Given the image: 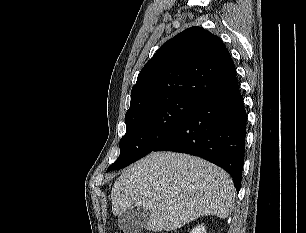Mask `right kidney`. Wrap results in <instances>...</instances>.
Masks as SVG:
<instances>
[{
	"instance_id": "ca27d5eb",
	"label": "right kidney",
	"mask_w": 306,
	"mask_h": 233,
	"mask_svg": "<svg viewBox=\"0 0 306 233\" xmlns=\"http://www.w3.org/2000/svg\"><path fill=\"white\" fill-rule=\"evenodd\" d=\"M190 233H206L205 226L203 224L198 225L197 227L193 228Z\"/></svg>"
}]
</instances>
